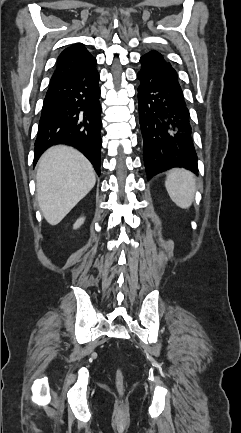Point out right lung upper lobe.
Segmentation results:
<instances>
[{
  "instance_id": "cb5924a9",
  "label": "right lung upper lobe",
  "mask_w": 241,
  "mask_h": 433,
  "mask_svg": "<svg viewBox=\"0 0 241 433\" xmlns=\"http://www.w3.org/2000/svg\"><path fill=\"white\" fill-rule=\"evenodd\" d=\"M93 64H96L95 57L88 52L83 44L76 43L66 48L59 55L56 70L51 77L50 83L77 73Z\"/></svg>"
}]
</instances>
